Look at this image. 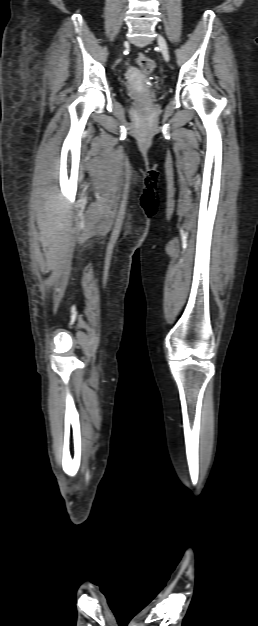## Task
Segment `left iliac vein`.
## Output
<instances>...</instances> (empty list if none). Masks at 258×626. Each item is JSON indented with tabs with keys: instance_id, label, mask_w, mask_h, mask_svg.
<instances>
[{
	"instance_id": "1",
	"label": "left iliac vein",
	"mask_w": 258,
	"mask_h": 626,
	"mask_svg": "<svg viewBox=\"0 0 258 626\" xmlns=\"http://www.w3.org/2000/svg\"><path fill=\"white\" fill-rule=\"evenodd\" d=\"M158 44H159L160 50L162 52V55H163L165 61L168 62L169 59H170L168 46H167L166 40L161 35L158 36Z\"/></svg>"
}]
</instances>
